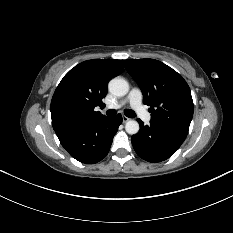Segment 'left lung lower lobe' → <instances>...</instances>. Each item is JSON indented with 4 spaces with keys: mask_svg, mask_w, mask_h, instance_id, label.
I'll return each mask as SVG.
<instances>
[{
    "mask_svg": "<svg viewBox=\"0 0 233 233\" xmlns=\"http://www.w3.org/2000/svg\"><path fill=\"white\" fill-rule=\"evenodd\" d=\"M140 132L132 137L135 152L142 159L156 163L168 159L181 146L188 132L151 120L144 126L138 119Z\"/></svg>",
    "mask_w": 233,
    "mask_h": 233,
    "instance_id": "1",
    "label": "left lung lower lobe"
}]
</instances>
